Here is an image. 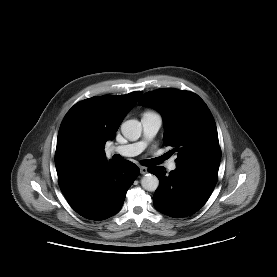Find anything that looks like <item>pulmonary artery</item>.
Listing matches in <instances>:
<instances>
[{"instance_id":"e3ab8cb5","label":"pulmonary artery","mask_w":277,"mask_h":277,"mask_svg":"<svg viewBox=\"0 0 277 277\" xmlns=\"http://www.w3.org/2000/svg\"><path fill=\"white\" fill-rule=\"evenodd\" d=\"M141 124L143 128L142 140L126 145L111 147L109 153H117L122 156H136L140 154L146 148L149 141L157 134L161 127L162 119L160 115L156 113L146 112L142 115ZM176 167L175 159H171L167 164V168L170 171H174Z\"/></svg>"}]
</instances>
